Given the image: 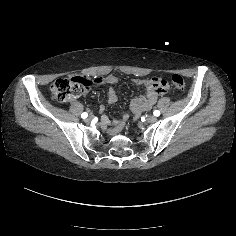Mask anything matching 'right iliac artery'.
I'll return each mask as SVG.
<instances>
[{
  "label": "right iliac artery",
  "mask_w": 236,
  "mask_h": 236,
  "mask_svg": "<svg viewBox=\"0 0 236 236\" xmlns=\"http://www.w3.org/2000/svg\"><path fill=\"white\" fill-rule=\"evenodd\" d=\"M87 116H88V114H87L86 112H84V113L81 114V117H82L83 119L87 118Z\"/></svg>",
  "instance_id": "82829eb1"
}]
</instances>
